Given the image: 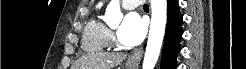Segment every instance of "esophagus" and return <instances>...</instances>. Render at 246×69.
I'll return each instance as SVG.
<instances>
[{"instance_id":"1","label":"esophagus","mask_w":246,"mask_h":69,"mask_svg":"<svg viewBox=\"0 0 246 69\" xmlns=\"http://www.w3.org/2000/svg\"><path fill=\"white\" fill-rule=\"evenodd\" d=\"M143 54V48H138L131 53L130 59L132 61H140Z\"/></svg>"}]
</instances>
